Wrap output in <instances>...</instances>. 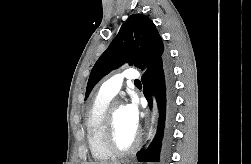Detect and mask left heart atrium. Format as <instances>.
<instances>
[{
	"mask_svg": "<svg viewBox=\"0 0 251 164\" xmlns=\"http://www.w3.org/2000/svg\"><path fill=\"white\" fill-rule=\"evenodd\" d=\"M126 119L129 125L137 131L138 124H139V110L137 103L133 100L127 105L124 106Z\"/></svg>",
	"mask_w": 251,
	"mask_h": 164,
	"instance_id": "1",
	"label": "left heart atrium"
}]
</instances>
